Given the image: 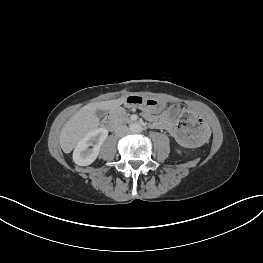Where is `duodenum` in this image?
<instances>
[{
	"label": "duodenum",
	"mask_w": 263,
	"mask_h": 263,
	"mask_svg": "<svg viewBox=\"0 0 263 263\" xmlns=\"http://www.w3.org/2000/svg\"><path fill=\"white\" fill-rule=\"evenodd\" d=\"M104 125L109 128L112 129L115 126V120L113 118L112 115H107L104 119Z\"/></svg>",
	"instance_id": "obj_1"
}]
</instances>
